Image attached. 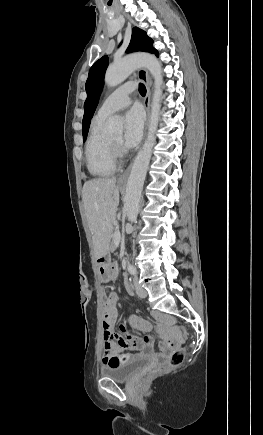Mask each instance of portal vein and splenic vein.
<instances>
[{
    "instance_id": "18ae733b",
    "label": "portal vein and splenic vein",
    "mask_w": 263,
    "mask_h": 435,
    "mask_svg": "<svg viewBox=\"0 0 263 435\" xmlns=\"http://www.w3.org/2000/svg\"><path fill=\"white\" fill-rule=\"evenodd\" d=\"M114 239H115L116 241H119V240L121 239V234H120V231H119V230H116V231H115Z\"/></svg>"
}]
</instances>
